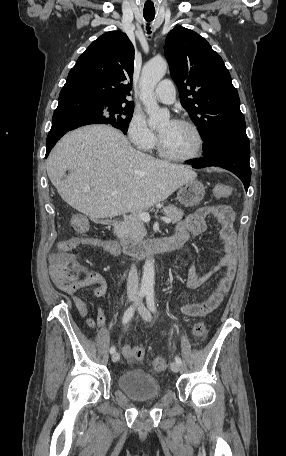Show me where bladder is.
Instances as JSON below:
<instances>
[{"label": "bladder", "instance_id": "1", "mask_svg": "<svg viewBox=\"0 0 286 456\" xmlns=\"http://www.w3.org/2000/svg\"><path fill=\"white\" fill-rule=\"evenodd\" d=\"M118 382L121 391L138 402L157 399L163 392L158 380L141 369L134 368L123 372Z\"/></svg>", "mask_w": 286, "mask_h": 456}]
</instances>
